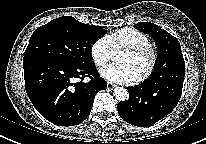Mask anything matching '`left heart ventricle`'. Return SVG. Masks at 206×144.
<instances>
[{
	"mask_svg": "<svg viewBox=\"0 0 206 144\" xmlns=\"http://www.w3.org/2000/svg\"><path fill=\"white\" fill-rule=\"evenodd\" d=\"M120 63L129 64L134 70L136 76L141 75L146 69L149 61L148 54L132 55L127 51H123L118 57Z\"/></svg>",
	"mask_w": 206,
	"mask_h": 144,
	"instance_id": "obj_1",
	"label": "left heart ventricle"
}]
</instances>
